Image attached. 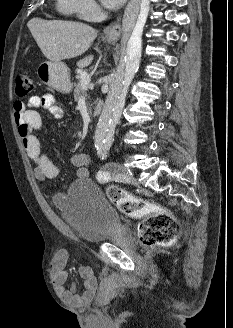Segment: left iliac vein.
Returning a JSON list of instances; mask_svg holds the SVG:
<instances>
[{"label": "left iliac vein", "instance_id": "obj_1", "mask_svg": "<svg viewBox=\"0 0 233 328\" xmlns=\"http://www.w3.org/2000/svg\"><path fill=\"white\" fill-rule=\"evenodd\" d=\"M117 179L124 183L132 184L136 186L139 185L137 179L132 176V173L126 168H124L123 166H121L118 170Z\"/></svg>", "mask_w": 233, "mask_h": 328}]
</instances>
